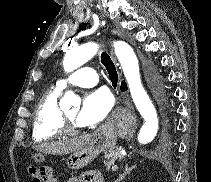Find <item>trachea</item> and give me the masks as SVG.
I'll list each match as a JSON object with an SVG mask.
<instances>
[{"label": "trachea", "mask_w": 211, "mask_h": 182, "mask_svg": "<svg viewBox=\"0 0 211 182\" xmlns=\"http://www.w3.org/2000/svg\"><path fill=\"white\" fill-rule=\"evenodd\" d=\"M101 63L105 66L112 84L116 86L118 81V74L113 61L106 52H102L101 54Z\"/></svg>", "instance_id": "1"}]
</instances>
